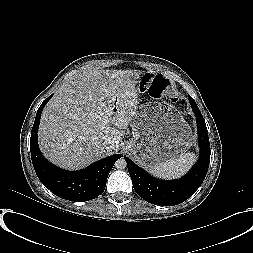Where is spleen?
<instances>
[{"label": "spleen", "instance_id": "obj_1", "mask_svg": "<svg viewBox=\"0 0 253 253\" xmlns=\"http://www.w3.org/2000/svg\"><path fill=\"white\" fill-rule=\"evenodd\" d=\"M196 161L194 153H186L178 158L166 160L148 168L155 176L162 178H176L183 175Z\"/></svg>", "mask_w": 253, "mask_h": 253}]
</instances>
